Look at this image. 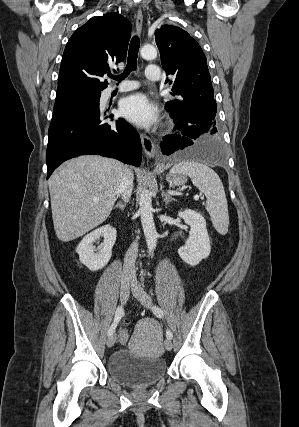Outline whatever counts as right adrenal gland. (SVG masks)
I'll return each instance as SVG.
<instances>
[{"label":"right adrenal gland","instance_id":"right-adrenal-gland-1","mask_svg":"<svg viewBox=\"0 0 299 427\" xmlns=\"http://www.w3.org/2000/svg\"><path fill=\"white\" fill-rule=\"evenodd\" d=\"M115 208H119L121 211H123L125 208V204L119 202L113 207V209H115Z\"/></svg>","mask_w":299,"mask_h":427}]
</instances>
